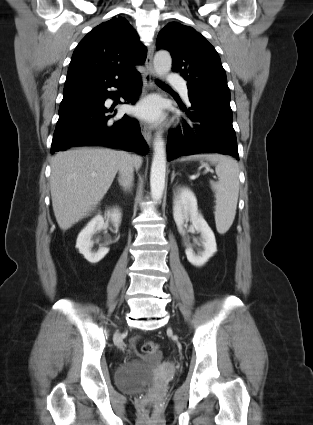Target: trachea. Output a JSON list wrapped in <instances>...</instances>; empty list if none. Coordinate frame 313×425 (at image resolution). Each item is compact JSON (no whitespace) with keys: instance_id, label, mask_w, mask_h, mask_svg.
<instances>
[{"instance_id":"1","label":"trachea","mask_w":313,"mask_h":425,"mask_svg":"<svg viewBox=\"0 0 313 425\" xmlns=\"http://www.w3.org/2000/svg\"><path fill=\"white\" fill-rule=\"evenodd\" d=\"M159 85H161V86H167L166 84H164V83H162V82H157Z\"/></svg>"}]
</instances>
